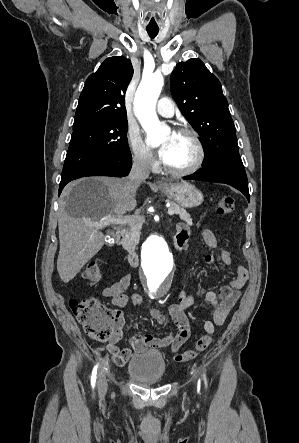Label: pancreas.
<instances>
[{"instance_id":"obj_1","label":"pancreas","mask_w":299,"mask_h":443,"mask_svg":"<svg viewBox=\"0 0 299 443\" xmlns=\"http://www.w3.org/2000/svg\"><path fill=\"white\" fill-rule=\"evenodd\" d=\"M167 203L170 204V209L174 210L175 214H179L181 220L185 221L187 224L192 225V219L187 211L176 204L173 201L166 200ZM144 223L143 217H137L135 220L128 225V227L124 231L122 245L127 250L135 249L136 245L139 243L140 239V230L142 228V224Z\"/></svg>"}]
</instances>
